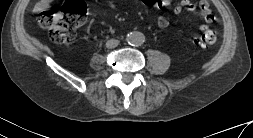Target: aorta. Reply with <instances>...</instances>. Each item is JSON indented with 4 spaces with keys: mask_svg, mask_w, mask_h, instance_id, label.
Wrapping results in <instances>:
<instances>
[{
    "mask_svg": "<svg viewBox=\"0 0 253 138\" xmlns=\"http://www.w3.org/2000/svg\"><path fill=\"white\" fill-rule=\"evenodd\" d=\"M126 41L132 46H140L145 42L143 33L134 31L127 34Z\"/></svg>",
    "mask_w": 253,
    "mask_h": 138,
    "instance_id": "obj_1",
    "label": "aorta"
}]
</instances>
